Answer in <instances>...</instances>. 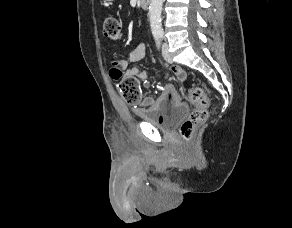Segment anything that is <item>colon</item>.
<instances>
[{
	"label": "colon",
	"instance_id": "5ec220e1",
	"mask_svg": "<svg viewBox=\"0 0 292 228\" xmlns=\"http://www.w3.org/2000/svg\"><path fill=\"white\" fill-rule=\"evenodd\" d=\"M103 33L106 38L113 41L122 37V26L116 16L107 15L104 18ZM110 75L119 81V90L127 102L135 104L140 100L141 93L136 78L123 77L122 72L116 67V61L112 63ZM188 98L195 105V108L180 127V134L185 140H190L195 128L205 121L209 106V99L200 87L188 89Z\"/></svg>",
	"mask_w": 292,
	"mask_h": 228
}]
</instances>
